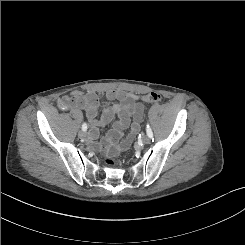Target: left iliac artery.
Returning a JSON list of instances; mask_svg holds the SVG:
<instances>
[{
	"mask_svg": "<svg viewBox=\"0 0 245 245\" xmlns=\"http://www.w3.org/2000/svg\"><path fill=\"white\" fill-rule=\"evenodd\" d=\"M146 132H147V135H148L150 138L153 137V132H152V130H151V128H150V126H149L148 124L146 125Z\"/></svg>",
	"mask_w": 245,
	"mask_h": 245,
	"instance_id": "44dca946",
	"label": "left iliac artery"
}]
</instances>
